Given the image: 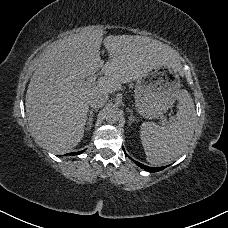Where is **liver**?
Segmentation results:
<instances>
[{"instance_id":"1","label":"liver","mask_w":228,"mask_h":228,"mask_svg":"<svg viewBox=\"0 0 228 228\" xmlns=\"http://www.w3.org/2000/svg\"><path fill=\"white\" fill-rule=\"evenodd\" d=\"M108 60L104 64L100 47ZM178 54L169 45L140 35H109L95 29L56 42L35 65L26 92V116L35 142L55 153H66L84 135L91 92L113 93L122 83L153 68L180 70ZM101 68L104 77L85 79Z\"/></svg>"}]
</instances>
